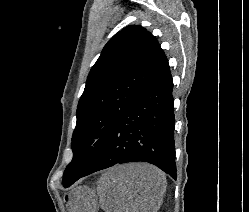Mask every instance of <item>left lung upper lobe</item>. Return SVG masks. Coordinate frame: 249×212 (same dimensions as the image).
Wrapping results in <instances>:
<instances>
[{
	"instance_id": "left-lung-upper-lobe-1",
	"label": "left lung upper lobe",
	"mask_w": 249,
	"mask_h": 212,
	"mask_svg": "<svg viewBox=\"0 0 249 212\" xmlns=\"http://www.w3.org/2000/svg\"><path fill=\"white\" fill-rule=\"evenodd\" d=\"M165 60L158 41L141 26H127L108 41L78 103L64 187L87 172L116 122Z\"/></svg>"
}]
</instances>
